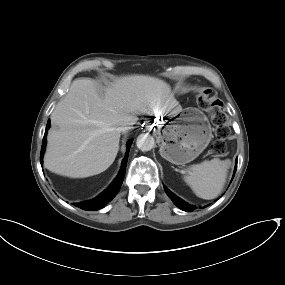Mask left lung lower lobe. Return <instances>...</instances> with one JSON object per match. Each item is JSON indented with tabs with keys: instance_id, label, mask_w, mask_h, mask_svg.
Segmentation results:
<instances>
[{
	"instance_id": "1",
	"label": "left lung lower lobe",
	"mask_w": 285,
	"mask_h": 285,
	"mask_svg": "<svg viewBox=\"0 0 285 285\" xmlns=\"http://www.w3.org/2000/svg\"><path fill=\"white\" fill-rule=\"evenodd\" d=\"M235 171H236V167H235ZM234 171V173H235ZM166 193L168 194V196L171 198V200L174 202V204L180 208L183 211H187V212H192L195 207L192 205H189L188 203L184 202L182 199H180L179 197H177L175 194H173L170 190H168L166 187H164Z\"/></svg>"
}]
</instances>
